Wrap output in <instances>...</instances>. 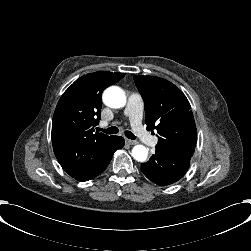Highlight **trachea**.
Masks as SVG:
<instances>
[{"mask_svg": "<svg viewBox=\"0 0 251 251\" xmlns=\"http://www.w3.org/2000/svg\"><path fill=\"white\" fill-rule=\"evenodd\" d=\"M105 132L107 134H117L119 132V129L116 126H112L106 129ZM124 135L129 139H135V135L131 131L126 130L124 132Z\"/></svg>", "mask_w": 251, "mask_h": 251, "instance_id": "obj_1", "label": "trachea"}]
</instances>
